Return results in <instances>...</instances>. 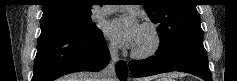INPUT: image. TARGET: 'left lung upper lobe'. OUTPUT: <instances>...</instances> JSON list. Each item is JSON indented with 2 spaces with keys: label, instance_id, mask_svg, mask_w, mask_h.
Masks as SVG:
<instances>
[{
  "label": "left lung upper lobe",
  "instance_id": "5c2ea615",
  "mask_svg": "<svg viewBox=\"0 0 237 81\" xmlns=\"http://www.w3.org/2000/svg\"><path fill=\"white\" fill-rule=\"evenodd\" d=\"M144 6L151 21L158 25L161 48L203 35L195 0H149Z\"/></svg>",
  "mask_w": 237,
  "mask_h": 81
}]
</instances>
